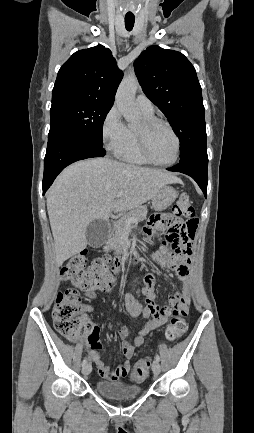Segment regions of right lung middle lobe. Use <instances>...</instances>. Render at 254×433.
<instances>
[{
	"label": "right lung middle lobe",
	"instance_id": "1",
	"mask_svg": "<svg viewBox=\"0 0 254 433\" xmlns=\"http://www.w3.org/2000/svg\"><path fill=\"white\" fill-rule=\"evenodd\" d=\"M111 107L82 100L53 104L50 109V130L66 128L102 146L103 123Z\"/></svg>",
	"mask_w": 254,
	"mask_h": 433
}]
</instances>
